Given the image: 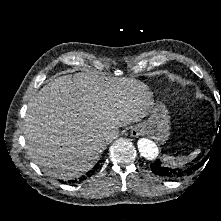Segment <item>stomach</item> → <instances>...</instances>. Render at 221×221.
<instances>
[{
    "label": "stomach",
    "instance_id": "1",
    "mask_svg": "<svg viewBox=\"0 0 221 221\" xmlns=\"http://www.w3.org/2000/svg\"><path fill=\"white\" fill-rule=\"evenodd\" d=\"M142 126L158 141L162 143L167 141L170 135V115L165 105L152 107L150 117L143 122Z\"/></svg>",
    "mask_w": 221,
    "mask_h": 221
}]
</instances>
